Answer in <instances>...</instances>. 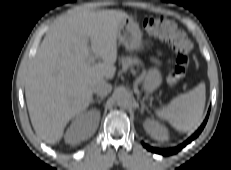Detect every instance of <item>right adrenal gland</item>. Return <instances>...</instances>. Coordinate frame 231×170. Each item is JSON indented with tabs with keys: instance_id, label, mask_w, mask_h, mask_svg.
I'll return each instance as SVG.
<instances>
[{
	"instance_id": "right-adrenal-gland-1",
	"label": "right adrenal gland",
	"mask_w": 231,
	"mask_h": 170,
	"mask_svg": "<svg viewBox=\"0 0 231 170\" xmlns=\"http://www.w3.org/2000/svg\"><path fill=\"white\" fill-rule=\"evenodd\" d=\"M103 99H104V97H100V98H97V100H92L91 103H94L96 101L100 104Z\"/></svg>"
}]
</instances>
